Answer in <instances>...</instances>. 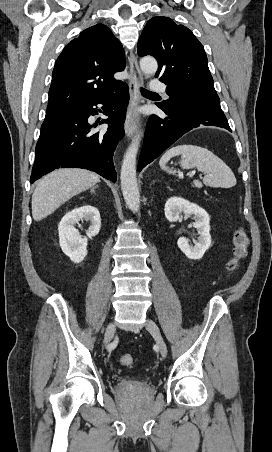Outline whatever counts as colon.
<instances>
[{
    "label": "colon",
    "instance_id": "1",
    "mask_svg": "<svg viewBox=\"0 0 272 452\" xmlns=\"http://www.w3.org/2000/svg\"><path fill=\"white\" fill-rule=\"evenodd\" d=\"M233 243L234 247L232 257L227 263V270L230 273H233L238 269L241 260L244 259L247 254L249 239L246 232L242 228L235 231ZM119 362L123 366L131 367L134 363V359L131 354H122L119 356Z\"/></svg>",
    "mask_w": 272,
    "mask_h": 452
}]
</instances>
